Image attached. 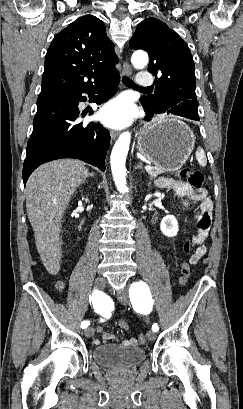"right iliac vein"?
<instances>
[{"mask_svg": "<svg viewBox=\"0 0 243 409\" xmlns=\"http://www.w3.org/2000/svg\"><path fill=\"white\" fill-rule=\"evenodd\" d=\"M105 285H106V280H105V278H103V277H98V278L96 279V281H95V287H96V289L102 290V289H104ZM84 334H85V336L88 337V338H89V337H92L93 334H94V330H93L92 328H86L85 331H84Z\"/></svg>", "mask_w": 243, "mask_h": 409, "instance_id": "1", "label": "right iliac vein"}]
</instances>
